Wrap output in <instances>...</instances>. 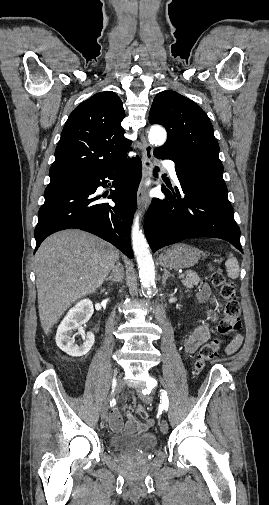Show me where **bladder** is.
<instances>
[{
	"label": "bladder",
	"instance_id": "1",
	"mask_svg": "<svg viewBox=\"0 0 269 505\" xmlns=\"http://www.w3.org/2000/svg\"><path fill=\"white\" fill-rule=\"evenodd\" d=\"M157 443L158 440L153 434L113 436L109 439L111 448L124 454H147L156 448Z\"/></svg>",
	"mask_w": 269,
	"mask_h": 505
}]
</instances>
